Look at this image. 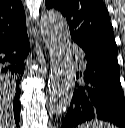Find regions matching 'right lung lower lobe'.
Wrapping results in <instances>:
<instances>
[{
    "label": "right lung lower lobe",
    "instance_id": "right-lung-lower-lobe-1",
    "mask_svg": "<svg viewBox=\"0 0 125 128\" xmlns=\"http://www.w3.org/2000/svg\"><path fill=\"white\" fill-rule=\"evenodd\" d=\"M30 51L27 31L0 43V72L13 78L8 86L14 91L13 113L15 123L18 126L20 120L19 82L25 68V58Z\"/></svg>",
    "mask_w": 125,
    "mask_h": 128
}]
</instances>
